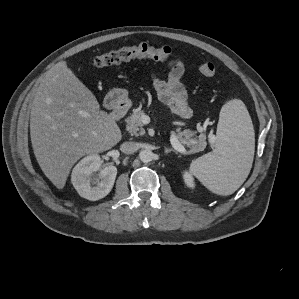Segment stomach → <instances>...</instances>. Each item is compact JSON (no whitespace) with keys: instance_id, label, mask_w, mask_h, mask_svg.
Masks as SVG:
<instances>
[{"instance_id":"1","label":"stomach","mask_w":299,"mask_h":299,"mask_svg":"<svg viewBox=\"0 0 299 299\" xmlns=\"http://www.w3.org/2000/svg\"><path fill=\"white\" fill-rule=\"evenodd\" d=\"M108 98L112 100L114 107L125 105L128 103V92L124 89H114L108 94Z\"/></svg>"}]
</instances>
